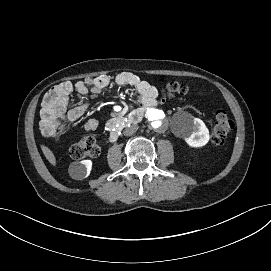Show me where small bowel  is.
I'll return each instance as SVG.
<instances>
[{
    "instance_id": "1",
    "label": "small bowel",
    "mask_w": 271,
    "mask_h": 271,
    "mask_svg": "<svg viewBox=\"0 0 271 271\" xmlns=\"http://www.w3.org/2000/svg\"><path fill=\"white\" fill-rule=\"evenodd\" d=\"M111 82L109 76L101 75L88 77L75 83L63 82L50 89L41 102V131L43 135L55 141L59 140L70 123L83 117L89 106L90 96L102 94L109 88ZM114 82L119 87H132L135 97L143 107H151L158 103V89L134 73L122 72L115 77ZM73 93L78 94L81 101L68 109V100ZM166 98L164 96L163 100ZM97 127L98 121L96 119H90L84 124L85 130H95Z\"/></svg>"
}]
</instances>
